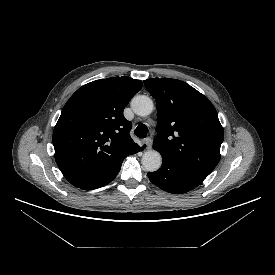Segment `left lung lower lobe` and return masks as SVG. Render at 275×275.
I'll return each instance as SVG.
<instances>
[{"instance_id":"1","label":"left lung lower lobe","mask_w":275,"mask_h":275,"mask_svg":"<svg viewBox=\"0 0 275 275\" xmlns=\"http://www.w3.org/2000/svg\"><path fill=\"white\" fill-rule=\"evenodd\" d=\"M159 170L149 172L150 181L164 191L174 194L186 193L199 186L205 176L167 158Z\"/></svg>"}]
</instances>
